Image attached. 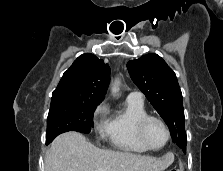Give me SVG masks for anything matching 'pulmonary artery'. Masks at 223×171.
<instances>
[{"label":"pulmonary artery","mask_w":223,"mask_h":171,"mask_svg":"<svg viewBox=\"0 0 223 171\" xmlns=\"http://www.w3.org/2000/svg\"><path fill=\"white\" fill-rule=\"evenodd\" d=\"M127 98L143 101V94L139 91H132L129 93Z\"/></svg>","instance_id":"pulmonary-artery-1"}]
</instances>
